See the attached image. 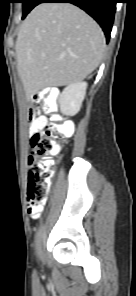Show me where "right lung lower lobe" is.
Returning a JSON list of instances; mask_svg holds the SVG:
<instances>
[{"instance_id": "right-lung-lower-lobe-1", "label": "right lung lower lobe", "mask_w": 136, "mask_h": 296, "mask_svg": "<svg viewBox=\"0 0 136 296\" xmlns=\"http://www.w3.org/2000/svg\"><path fill=\"white\" fill-rule=\"evenodd\" d=\"M118 0H39V3H72L93 17L106 35L107 42L113 25Z\"/></svg>"}]
</instances>
